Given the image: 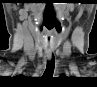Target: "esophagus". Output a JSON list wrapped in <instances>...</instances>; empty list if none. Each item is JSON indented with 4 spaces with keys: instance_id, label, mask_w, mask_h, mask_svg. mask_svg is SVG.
Returning <instances> with one entry per match:
<instances>
[{
    "instance_id": "esophagus-1",
    "label": "esophagus",
    "mask_w": 97,
    "mask_h": 87,
    "mask_svg": "<svg viewBox=\"0 0 97 87\" xmlns=\"http://www.w3.org/2000/svg\"><path fill=\"white\" fill-rule=\"evenodd\" d=\"M52 57V53L51 52H46L45 54V60H50Z\"/></svg>"
}]
</instances>
